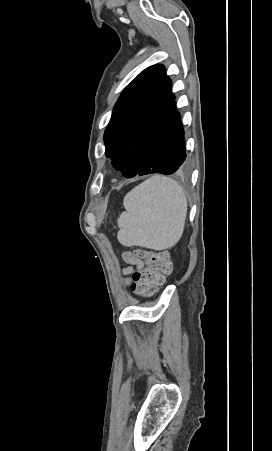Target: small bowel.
<instances>
[{
	"label": "small bowel",
	"instance_id": "small-bowel-1",
	"mask_svg": "<svg viewBox=\"0 0 272 451\" xmlns=\"http://www.w3.org/2000/svg\"><path fill=\"white\" fill-rule=\"evenodd\" d=\"M122 258L125 263L128 264V267L124 269L125 275H129L133 271L134 267L141 268L143 266L141 258H137L136 254L130 251L123 252Z\"/></svg>",
	"mask_w": 272,
	"mask_h": 451
}]
</instances>
